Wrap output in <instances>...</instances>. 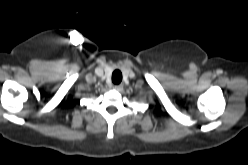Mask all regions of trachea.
Listing matches in <instances>:
<instances>
[{
    "instance_id": "obj_1",
    "label": "trachea",
    "mask_w": 248,
    "mask_h": 165,
    "mask_svg": "<svg viewBox=\"0 0 248 165\" xmlns=\"http://www.w3.org/2000/svg\"><path fill=\"white\" fill-rule=\"evenodd\" d=\"M122 81V73L120 72V70H115L112 73V82L114 84H119Z\"/></svg>"
}]
</instances>
